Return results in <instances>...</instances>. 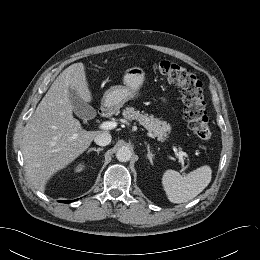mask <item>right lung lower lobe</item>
I'll list each match as a JSON object with an SVG mask.
<instances>
[{"mask_svg": "<svg viewBox=\"0 0 260 260\" xmlns=\"http://www.w3.org/2000/svg\"><path fill=\"white\" fill-rule=\"evenodd\" d=\"M60 202H63V203H69L70 201H60Z\"/></svg>", "mask_w": 260, "mask_h": 260, "instance_id": "98d812e1", "label": "right lung lower lobe"}]
</instances>
